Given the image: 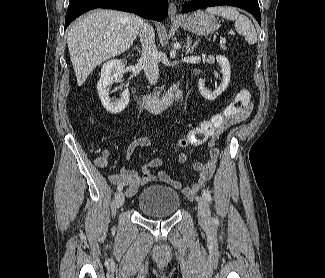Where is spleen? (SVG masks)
<instances>
[{
	"instance_id": "obj_1",
	"label": "spleen",
	"mask_w": 325,
	"mask_h": 278,
	"mask_svg": "<svg viewBox=\"0 0 325 278\" xmlns=\"http://www.w3.org/2000/svg\"><path fill=\"white\" fill-rule=\"evenodd\" d=\"M207 13L221 16L227 20L235 21L236 31L244 36L248 44H255L257 42V34L251 20L244 15H240L239 11L233 7H209L206 9Z\"/></svg>"
}]
</instances>
